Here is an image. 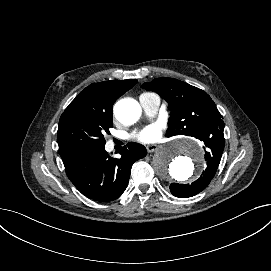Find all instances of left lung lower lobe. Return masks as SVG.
<instances>
[{
	"instance_id": "obj_1",
	"label": "left lung lower lobe",
	"mask_w": 271,
	"mask_h": 271,
	"mask_svg": "<svg viewBox=\"0 0 271 271\" xmlns=\"http://www.w3.org/2000/svg\"><path fill=\"white\" fill-rule=\"evenodd\" d=\"M204 144L207 147V151H205V159L207 161L205 171L202 172L198 180L191 184L172 183L170 191L174 196L179 198L194 196L204 190L215 176L225 144L219 142H204Z\"/></svg>"
}]
</instances>
